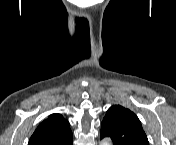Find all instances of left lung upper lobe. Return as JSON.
<instances>
[{"instance_id":"1","label":"left lung upper lobe","mask_w":176,"mask_h":145,"mask_svg":"<svg viewBox=\"0 0 176 145\" xmlns=\"http://www.w3.org/2000/svg\"><path fill=\"white\" fill-rule=\"evenodd\" d=\"M100 136L110 137L114 145H149L138 117L120 105H114L106 112Z\"/></svg>"}]
</instances>
